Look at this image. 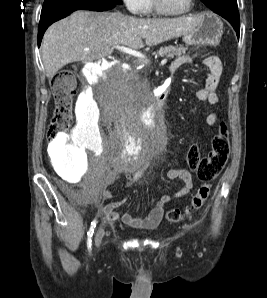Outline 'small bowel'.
<instances>
[{
    "instance_id": "small-bowel-1",
    "label": "small bowel",
    "mask_w": 267,
    "mask_h": 298,
    "mask_svg": "<svg viewBox=\"0 0 267 298\" xmlns=\"http://www.w3.org/2000/svg\"><path fill=\"white\" fill-rule=\"evenodd\" d=\"M191 61L192 59L189 56H180L171 63L170 70L175 72L180 67L191 63ZM203 63L208 68L209 74L204 80L203 87L196 91L195 96L199 101L207 102L210 105H216L219 103L218 86L222 74V63L221 60L214 55L204 57ZM206 120L211 126L216 125L218 121L217 116L214 113L208 114ZM70 141L71 145L74 147L79 145L75 138H71ZM166 175L171 180H181L183 186L173 194H164L159 198L152 200L153 208L147 216L142 218L134 217L130 213H124L120 216L116 209L120 207L125 200L107 202L113 197L111 191L108 189H104L98 193H89L85 196V199L86 201L97 205L104 219L109 223H114L118 219H121L122 224L128 228L151 230L156 228L161 222L164 206L174 199L189 194L193 188L192 176L185 169L170 168ZM140 176V173L134 174L131 181L133 183L137 182Z\"/></svg>"
}]
</instances>
